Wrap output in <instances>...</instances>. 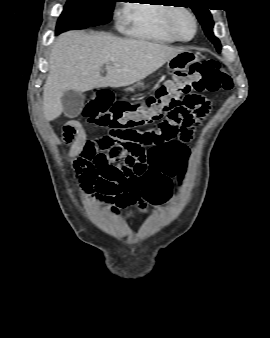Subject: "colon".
<instances>
[{"mask_svg":"<svg viewBox=\"0 0 270 338\" xmlns=\"http://www.w3.org/2000/svg\"><path fill=\"white\" fill-rule=\"evenodd\" d=\"M232 86L230 76L219 62H196L187 72H176L171 79L162 82L145 104L114 101L108 91L100 90L86 101L82 117L108 129L110 136L153 146L154 154L164 158L177 153L191 137V128L204 119L209 107L202 94L229 90ZM166 118L171 122L161 123L145 132L137 129ZM170 139L175 141L159 147ZM145 158L144 154L136 157L133 151L123 163L107 173L102 190L116 207H144L141 194L156 178L153 169L147 167ZM74 171L77 176L75 167Z\"/></svg>","mask_w":270,"mask_h":338,"instance_id":"obj_1","label":"colon"}]
</instances>
